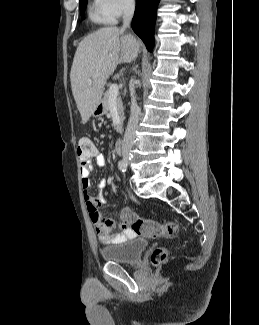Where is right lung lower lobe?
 Masks as SVG:
<instances>
[{"mask_svg":"<svg viewBox=\"0 0 259 325\" xmlns=\"http://www.w3.org/2000/svg\"><path fill=\"white\" fill-rule=\"evenodd\" d=\"M159 1L137 0L132 20L134 32L143 40L149 51H152L154 46V25Z\"/></svg>","mask_w":259,"mask_h":325,"instance_id":"98d812e1","label":"right lung lower lobe"}]
</instances>
